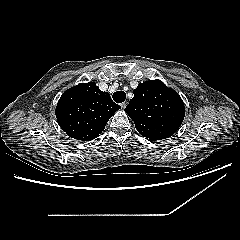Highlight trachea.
Wrapping results in <instances>:
<instances>
[{
    "label": "trachea",
    "instance_id": "3493384b",
    "mask_svg": "<svg viewBox=\"0 0 240 240\" xmlns=\"http://www.w3.org/2000/svg\"><path fill=\"white\" fill-rule=\"evenodd\" d=\"M125 99H126V94L124 91H116L113 94V100L117 103H122L125 101Z\"/></svg>",
    "mask_w": 240,
    "mask_h": 240
}]
</instances>
